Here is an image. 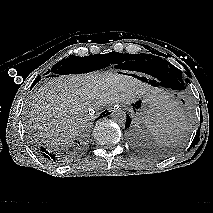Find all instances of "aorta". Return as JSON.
<instances>
[{"mask_svg": "<svg viewBox=\"0 0 213 213\" xmlns=\"http://www.w3.org/2000/svg\"><path fill=\"white\" fill-rule=\"evenodd\" d=\"M111 119L119 125H124L127 119L126 113L121 109H116L111 113Z\"/></svg>", "mask_w": 213, "mask_h": 213, "instance_id": "aorta-1", "label": "aorta"}]
</instances>
